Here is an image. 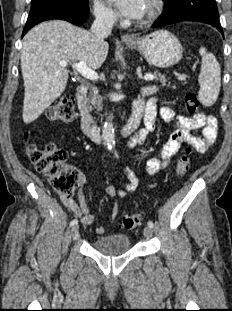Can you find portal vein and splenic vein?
<instances>
[{
	"instance_id": "portal-vein-and-splenic-vein-1",
	"label": "portal vein and splenic vein",
	"mask_w": 232,
	"mask_h": 311,
	"mask_svg": "<svg viewBox=\"0 0 232 311\" xmlns=\"http://www.w3.org/2000/svg\"><path fill=\"white\" fill-rule=\"evenodd\" d=\"M59 64L62 67H66L68 65V62L62 60L59 62ZM72 67L74 69H76V71H78V73H80L86 79L93 80V81H96L98 79V74L94 70L90 69L84 61H79L78 63H73ZM154 78H155V76L153 74H146L144 76V79L146 81H151Z\"/></svg>"
}]
</instances>
